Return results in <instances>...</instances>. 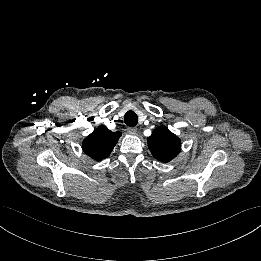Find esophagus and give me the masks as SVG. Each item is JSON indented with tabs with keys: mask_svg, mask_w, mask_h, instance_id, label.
I'll list each match as a JSON object with an SVG mask.
<instances>
[{
	"mask_svg": "<svg viewBox=\"0 0 261 261\" xmlns=\"http://www.w3.org/2000/svg\"><path fill=\"white\" fill-rule=\"evenodd\" d=\"M127 132L130 134V135H136L137 134V129L135 127H128L127 128Z\"/></svg>",
	"mask_w": 261,
	"mask_h": 261,
	"instance_id": "34e87169",
	"label": "esophagus"
}]
</instances>
